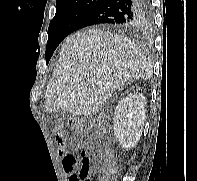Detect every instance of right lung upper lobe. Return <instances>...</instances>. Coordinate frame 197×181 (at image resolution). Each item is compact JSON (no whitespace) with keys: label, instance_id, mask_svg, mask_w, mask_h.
I'll return each instance as SVG.
<instances>
[{"label":"right lung upper lobe","instance_id":"right-lung-upper-lobe-1","mask_svg":"<svg viewBox=\"0 0 197 181\" xmlns=\"http://www.w3.org/2000/svg\"><path fill=\"white\" fill-rule=\"evenodd\" d=\"M102 0H57L56 3V12L71 9L83 4H92L96 5ZM136 26H129L124 28L123 30H133L136 29Z\"/></svg>","mask_w":197,"mask_h":181}]
</instances>
